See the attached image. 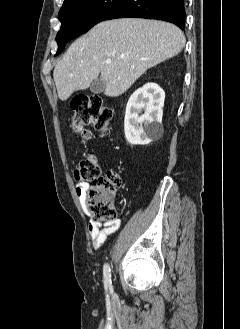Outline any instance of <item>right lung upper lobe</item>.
Instances as JSON below:
<instances>
[{"label":"right lung upper lobe","instance_id":"obj_1","mask_svg":"<svg viewBox=\"0 0 240 329\" xmlns=\"http://www.w3.org/2000/svg\"><path fill=\"white\" fill-rule=\"evenodd\" d=\"M71 1H73V0H64L63 6L66 5V4H68Z\"/></svg>","mask_w":240,"mask_h":329}]
</instances>
